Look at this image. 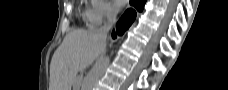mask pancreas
Masks as SVG:
<instances>
[{
    "label": "pancreas",
    "instance_id": "cf45deb5",
    "mask_svg": "<svg viewBox=\"0 0 228 90\" xmlns=\"http://www.w3.org/2000/svg\"><path fill=\"white\" fill-rule=\"evenodd\" d=\"M82 83V78L81 77H77L74 83V87L75 88H79L81 86Z\"/></svg>",
    "mask_w": 228,
    "mask_h": 90
}]
</instances>
